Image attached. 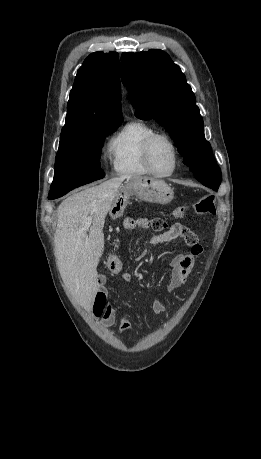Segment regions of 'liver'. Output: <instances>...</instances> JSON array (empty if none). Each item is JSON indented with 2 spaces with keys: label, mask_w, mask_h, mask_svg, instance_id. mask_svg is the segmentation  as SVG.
Here are the masks:
<instances>
[{
  "label": "liver",
  "mask_w": 261,
  "mask_h": 459,
  "mask_svg": "<svg viewBox=\"0 0 261 459\" xmlns=\"http://www.w3.org/2000/svg\"><path fill=\"white\" fill-rule=\"evenodd\" d=\"M128 178H112L76 192L57 210L54 245L58 269L72 296L86 310L92 308L99 290L96 269L104 251L105 217ZM89 216L93 217L92 225L86 229Z\"/></svg>",
  "instance_id": "6515ba94"
}]
</instances>
